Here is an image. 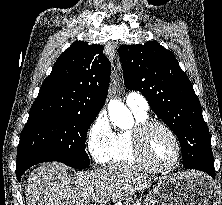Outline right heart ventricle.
<instances>
[{"label":"right heart ventricle","mask_w":222,"mask_h":205,"mask_svg":"<svg viewBox=\"0 0 222 205\" xmlns=\"http://www.w3.org/2000/svg\"><path fill=\"white\" fill-rule=\"evenodd\" d=\"M132 113L135 117L136 124L148 119L147 112L143 113L132 110ZM133 128L123 129L114 133L113 144L106 159V163L114 167H128L152 171L153 169L142 162L135 153L132 136Z\"/></svg>","instance_id":"e07e8e85"}]
</instances>
